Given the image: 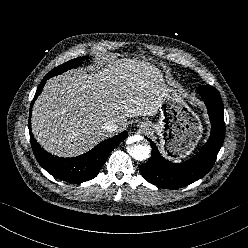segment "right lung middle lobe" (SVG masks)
Returning a JSON list of instances; mask_svg holds the SVG:
<instances>
[{
  "label": "right lung middle lobe",
  "mask_w": 248,
  "mask_h": 248,
  "mask_svg": "<svg viewBox=\"0 0 248 248\" xmlns=\"http://www.w3.org/2000/svg\"><path fill=\"white\" fill-rule=\"evenodd\" d=\"M88 56H85V57H79V58H76V59H73V60H70L56 68H54L52 71L49 72V74H52L53 76L55 75H58V74H61L71 68H74L76 66H79L82 64V62L87 59Z\"/></svg>",
  "instance_id": "obj_1"
}]
</instances>
